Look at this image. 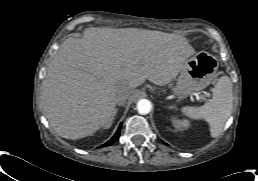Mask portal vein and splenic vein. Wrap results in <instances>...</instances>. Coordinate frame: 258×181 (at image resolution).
<instances>
[{
	"label": "portal vein and splenic vein",
	"mask_w": 258,
	"mask_h": 181,
	"mask_svg": "<svg viewBox=\"0 0 258 181\" xmlns=\"http://www.w3.org/2000/svg\"><path fill=\"white\" fill-rule=\"evenodd\" d=\"M198 98H199V99H201V98H202V96H198Z\"/></svg>",
	"instance_id": "18ae733b"
}]
</instances>
